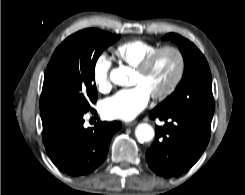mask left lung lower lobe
I'll return each mask as SVG.
<instances>
[{
	"instance_id": "left-lung-lower-lobe-1",
	"label": "left lung lower lobe",
	"mask_w": 245,
	"mask_h": 195,
	"mask_svg": "<svg viewBox=\"0 0 245 195\" xmlns=\"http://www.w3.org/2000/svg\"><path fill=\"white\" fill-rule=\"evenodd\" d=\"M149 117L166 122L163 128L156 126L155 141L146 152L149 167L163 177L189 170L207 147L213 114L153 109Z\"/></svg>"
}]
</instances>
